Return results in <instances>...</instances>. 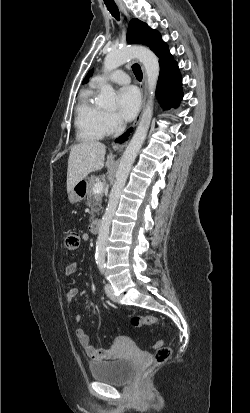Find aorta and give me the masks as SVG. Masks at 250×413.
I'll return each instance as SVG.
<instances>
[{
	"label": "aorta",
	"mask_w": 250,
	"mask_h": 413,
	"mask_svg": "<svg viewBox=\"0 0 250 413\" xmlns=\"http://www.w3.org/2000/svg\"><path fill=\"white\" fill-rule=\"evenodd\" d=\"M133 58L138 59L145 68L149 95L135 134L121 157L119 168L116 173V180L110 192L108 205L99 227L95 254L96 263L98 265H104L105 263L106 243L110 225L131 166L146 138L153 115L154 92L160 68L158 59L151 50L145 47H128L121 50L111 51L104 59V71H112ZM115 95V91L111 85H103L98 98V105L105 109L113 108L115 106Z\"/></svg>",
	"instance_id": "aorta-1"
}]
</instances>
